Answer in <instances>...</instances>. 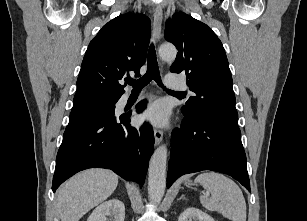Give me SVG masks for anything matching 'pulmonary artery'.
<instances>
[{"mask_svg":"<svg viewBox=\"0 0 307 221\" xmlns=\"http://www.w3.org/2000/svg\"><path fill=\"white\" fill-rule=\"evenodd\" d=\"M166 84L174 89H185L186 84L175 74H167L166 75ZM129 97L128 94L124 96V99Z\"/></svg>","mask_w":307,"mask_h":221,"instance_id":"obj_1","label":"pulmonary artery"}]
</instances>
